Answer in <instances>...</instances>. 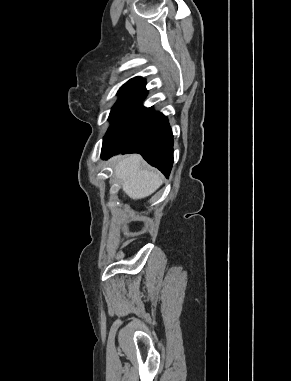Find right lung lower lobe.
<instances>
[{
	"label": "right lung lower lobe",
	"mask_w": 291,
	"mask_h": 381,
	"mask_svg": "<svg viewBox=\"0 0 291 381\" xmlns=\"http://www.w3.org/2000/svg\"><path fill=\"white\" fill-rule=\"evenodd\" d=\"M146 92L142 80L121 124L118 140L103 142L101 155L105 159L118 153H139L168 177L173 164L172 131L166 116L140 105Z\"/></svg>",
	"instance_id": "98d812e1"
}]
</instances>
